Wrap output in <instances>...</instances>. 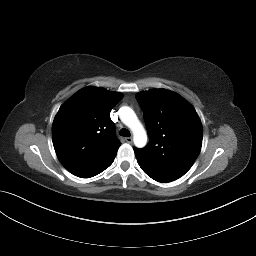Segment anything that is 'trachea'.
I'll list each match as a JSON object with an SVG mask.
<instances>
[{
	"mask_svg": "<svg viewBox=\"0 0 256 256\" xmlns=\"http://www.w3.org/2000/svg\"><path fill=\"white\" fill-rule=\"evenodd\" d=\"M119 133H120V135L123 136V137H129V136H130V132H129V130L126 129V128H122Z\"/></svg>",
	"mask_w": 256,
	"mask_h": 256,
	"instance_id": "trachea-1",
	"label": "trachea"
}]
</instances>
